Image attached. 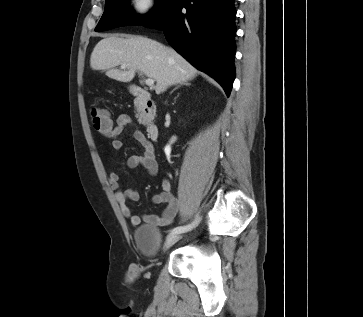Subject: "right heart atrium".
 Returning a JSON list of instances; mask_svg holds the SVG:
<instances>
[{"mask_svg": "<svg viewBox=\"0 0 363 317\" xmlns=\"http://www.w3.org/2000/svg\"><path fill=\"white\" fill-rule=\"evenodd\" d=\"M156 6L155 0H130V10L139 16H146L150 14Z\"/></svg>", "mask_w": 363, "mask_h": 317, "instance_id": "1", "label": "right heart atrium"}]
</instances>
